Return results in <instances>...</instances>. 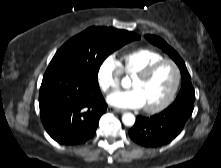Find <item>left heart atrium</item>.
<instances>
[{
  "mask_svg": "<svg viewBox=\"0 0 221 168\" xmlns=\"http://www.w3.org/2000/svg\"><path fill=\"white\" fill-rule=\"evenodd\" d=\"M107 101L118 108L137 109L144 107L141 95L135 89L112 93L108 96Z\"/></svg>",
  "mask_w": 221,
  "mask_h": 168,
  "instance_id": "1",
  "label": "left heart atrium"
}]
</instances>
